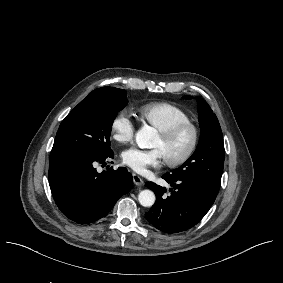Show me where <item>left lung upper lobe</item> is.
Returning <instances> with one entry per match:
<instances>
[{
  "instance_id": "obj_1",
  "label": "left lung upper lobe",
  "mask_w": 283,
  "mask_h": 283,
  "mask_svg": "<svg viewBox=\"0 0 283 283\" xmlns=\"http://www.w3.org/2000/svg\"><path fill=\"white\" fill-rule=\"evenodd\" d=\"M192 99V96H184ZM200 141L194 154L179 168L167 173L173 179H195L218 193L224 165V145L220 124L210 106L198 99Z\"/></svg>"
}]
</instances>
